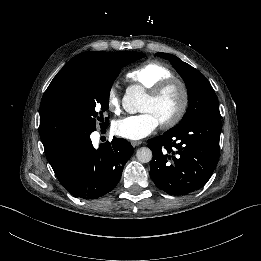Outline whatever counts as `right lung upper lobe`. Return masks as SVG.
<instances>
[{
  "label": "right lung upper lobe",
  "instance_id": "1",
  "mask_svg": "<svg viewBox=\"0 0 261 261\" xmlns=\"http://www.w3.org/2000/svg\"><path fill=\"white\" fill-rule=\"evenodd\" d=\"M124 51L83 52L73 57L53 78L40 104V132L59 140L75 133L77 111L71 88L76 76L88 69L117 63Z\"/></svg>",
  "mask_w": 261,
  "mask_h": 261
}]
</instances>
